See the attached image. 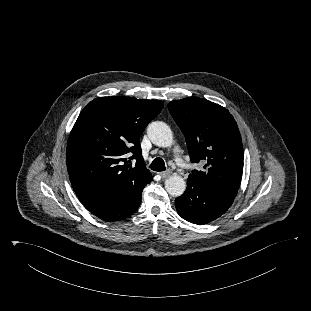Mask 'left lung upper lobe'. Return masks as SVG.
Here are the masks:
<instances>
[{
  "mask_svg": "<svg viewBox=\"0 0 311 311\" xmlns=\"http://www.w3.org/2000/svg\"><path fill=\"white\" fill-rule=\"evenodd\" d=\"M168 109L182 130L195 177L209 187L235 198L243 173V145L233 116L224 107L197 97L171 101Z\"/></svg>",
  "mask_w": 311,
  "mask_h": 311,
  "instance_id": "obj_1",
  "label": "left lung upper lobe"
}]
</instances>
